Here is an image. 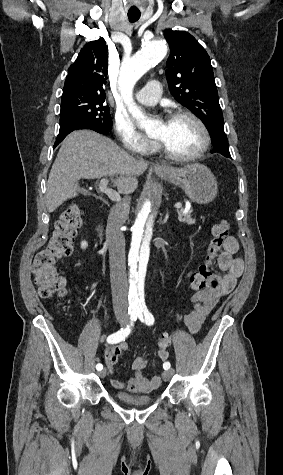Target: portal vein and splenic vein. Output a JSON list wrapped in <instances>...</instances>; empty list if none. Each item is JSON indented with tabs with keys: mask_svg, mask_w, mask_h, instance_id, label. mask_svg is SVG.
Instances as JSON below:
<instances>
[{
	"mask_svg": "<svg viewBox=\"0 0 283 475\" xmlns=\"http://www.w3.org/2000/svg\"><path fill=\"white\" fill-rule=\"evenodd\" d=\"M108 186V180L106 178H103L99 184L100 192H103V194H107L108 198L110 200H113V202H118L120 200L119 194L115 192V190H111V188H107ZM186 206H189V204H186ZM174 208H182V204L178 202V204H175Z\"/></svg>",
	"mask_w": 283,
	"mask_h": 475,
	"instance_id": "portal-vein-and-splenic-vein-1",
	"label": "portal vein and splenic vein"
}]
</instances>
